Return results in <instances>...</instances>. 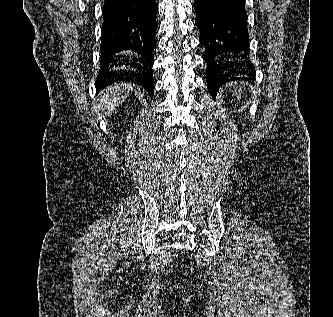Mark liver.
Masks as SVG:
<instances>
[{"instance_id": "1", "label": "liver", "mask_w": 333, "mask_h": 317, "mask_svg": "<svg viewBox=\"0 0 333 317\" xmlns=\"http://www.w3.org/2000/svg\"><path fill=\"white\" fill-rule=\"evenodd\" d=\"M132 85L118 83L104 89L98 96L97 108L104 116H109L127 98Z\"/></svg>"}]
</instances>
